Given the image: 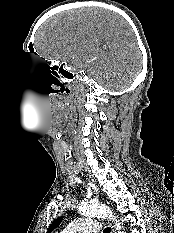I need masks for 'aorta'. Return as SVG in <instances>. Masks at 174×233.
<instances>
[{
  "label": "aorta",
  "instance_id": "1",
  "mask_svg": "<svg viewBox=\"0 0 174 233\" xmlns=\"http://www.w3.org/2000/svg\"><path fill=\"white\" fill-rule=\"evenodd\" d=\"M78 212L87 217H103L112 220L115 223V229L118 233H124L122 226L114 216L109 207L99 203H83L79 206Z\"/></svg>",
  "mask_w": 174,
  "mask_h": 233
}]
</instances>
